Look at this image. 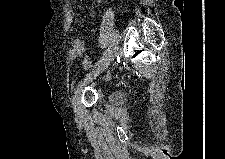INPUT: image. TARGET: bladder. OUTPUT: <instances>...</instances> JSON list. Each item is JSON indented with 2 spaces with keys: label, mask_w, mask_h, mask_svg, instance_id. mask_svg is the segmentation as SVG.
I'll list each match as a JSON object with an SVG mask.
<instances>
[{
  "label": "bladder",
  "mask_w": 225,
  "mask_h": 159,
  "mask_svg": "<svg viewBox=\"0 0 225 159\" xmlns=\"http://www.w3.org/2000/svg\"><path fill=\"white\" fill-rule=\"evenodd\" d=\"M111 101H112L114 104H120V103H122L123 99H122L121 96L114 94V95H112V97H111Z\"/></svg>",
  "instance_id": "bladder-1"
}]
</instances>
